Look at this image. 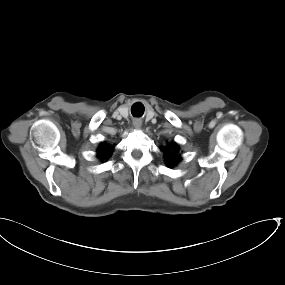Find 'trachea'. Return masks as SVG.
I'll use <instances>...</instances> for the list:
<instances>
[{
  "mask_svg": "<svg viewBox=\"0 0 285 285\" xmlns=\"http://www.w3.org/2000/svg\"><path fill=\"white\" fill-rule=\"evenodd\" d=\"M141 106V104H139V103H137V104H135L134 106H133V108H134V110L136 109H138V107H140Z\"/></svg>",
  "mask_w": 285,
  "mask_h": 285,
  "instance_id": "obj_1",
  "label": "trachea"
}]
</instances>
